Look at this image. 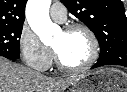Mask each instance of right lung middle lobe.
<instances>
[{
  "label": "right lung middle lobe",
  "instance_id": "1",
  "mask_svg": "<svg viewBox=\"0 0 127 92\" xmlns=\"http://www.w3.org/2000/svg\"><path fill=\"white\" fill-rule=\"evenodd\" d=\"M23 25H0V51L19 55Z\"/></svg>",
  "mask_w": 127,
  "mask_h": 92
}]
</instances>
